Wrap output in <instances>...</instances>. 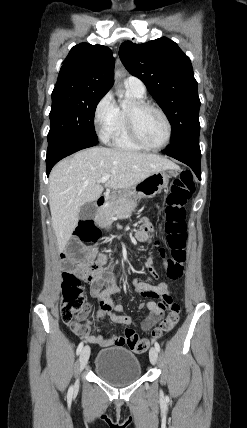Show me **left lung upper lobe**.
Instances as JSON below:
<instances>
[{"label": "left lung upper lobe", "instance_id": "5c2ea615", "mask_svg": "<svg viewBox=\"0 0 247 428\" xmlns=\"http://www.w3.org/2000/svg\"><path fill=\"white\" fill-rule=\"evenodd\" d=\"M119 57L168 116L173 128L171 145L199 139L197 81L190 59L178 45L166 37L144 44L126 41L119 48Z\"/></svg>", "mask_w": 247, "mask_h": 428}]
</instances>
